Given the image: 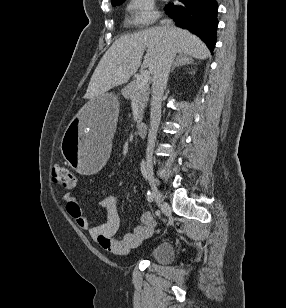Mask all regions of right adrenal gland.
Masks as SVG:
<instances>
[{"label": "right adrenal gland", "instance_id": "obj_1", "mask_svg": "<svg viewBox=\"0 0 286 308\" xmlns=\"http://www.w3.org/2000/svg\"><path fill=\"white\" fill-rule=\"evenodd\" d=\"M193 63H194V60L192 59V57L190 55L179 54L176 61L173 63L170 72L172 73L177 66L186 65V64H193Z\"/></svg>", "mask_w": 286, "mask_h": 308}]
</instances>
